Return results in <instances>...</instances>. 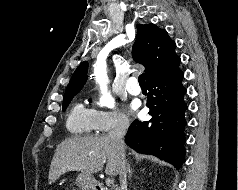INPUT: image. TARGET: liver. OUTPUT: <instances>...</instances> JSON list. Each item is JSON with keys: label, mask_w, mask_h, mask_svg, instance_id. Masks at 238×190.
I'll return each instance as SVG.
<instances>
[{"label": "liver", "mask_w": 238, "mask_h": 190, "mask_svg": "<svg viewBox=\"0 0 238 190\" xmlns=\"http://www.w3.org/2000/svg\"><path fill=\"white\" fill-rule=\"evenodd\" d=\"M106 161L105 173L117 175L120 155L109 136L68 138L56 148L49 170V184L68 171L92 176L103 169Z\"/></svg>", "instance_id": "liver-1"}]
</instances>
